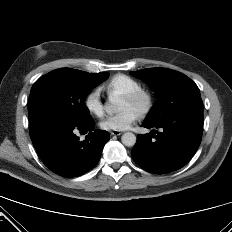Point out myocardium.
<instances>
[{"label": "myocardium", "instance_id": "obj_1", "mask_svg": "<svg viewBox=\"0 0 232 232\" xmlns=\"http://www.w3.org/2000/svg\"><path fill=\"white\" fill-rule=\"evenodd\" d=\"M123 98L137 106L140 115L147 114L153 103L152 95L149 91L141 88L131 93L123 95Z\"/></svg>", "mask_w": 232, "mask_h": 232}]
</instances>
